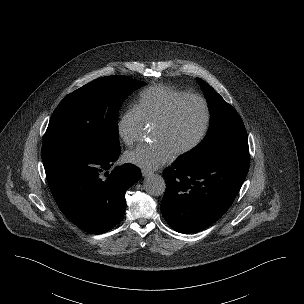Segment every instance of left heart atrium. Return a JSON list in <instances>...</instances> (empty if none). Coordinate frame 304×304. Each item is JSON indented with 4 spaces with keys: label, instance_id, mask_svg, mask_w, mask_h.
Instances as JSON below:
<instances>
[{
    "label": "left heart atrium",
    "instance_id": "1",
    "mask_svg": "<svg viewBox=\"0 0 304 304\" xmlns=\"http://www.w3.org/2000/svg\"><path fill=\"white\" fill-rule=\"evenodd\" d=\"M174 152L164 143L140 145L125 153V160L144 170H153L174 157Z\"/></svg>",
    "mask_w": 304,
    "mask_h": 304
}]
</instances>
